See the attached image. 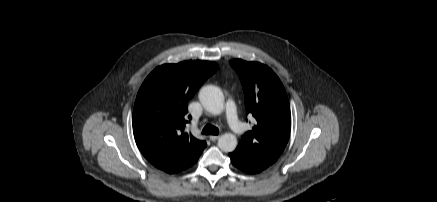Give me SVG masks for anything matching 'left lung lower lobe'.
Returning a JSON list of instances; mask_svg holds the SVG:
<instances>
[{
  "mask_svg": "<svg viewBox=\"0 0 437 202\" xmlns=\"http://www.w3.org/2000/svg\"><path fill=\"white\" fill-rule=\"evenodd\" d=\"M229 156L232 164L245 173L257 174L267 168V166L249 158L238 150L229 153Z\"/></svg>",
  "mask_w": 437,
  "mask_h": 202,
  "instance_id": "left-lung-lower-lobe-1",
  "label": "left lung lower lobe"
}]
</instances>
